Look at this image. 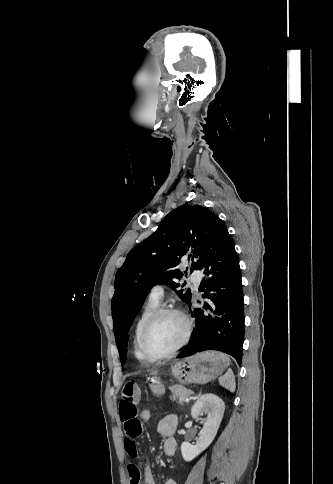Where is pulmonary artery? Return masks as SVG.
I'll return each mask as SVG.
<instances>
[{
    "label": "pulmonary artery",
    "instance_id": "1",
    "mask_svg": "<svg viewBox=\"0 0 333 484\" xmlns=\"http://www.w3.org/2000/svg\"><path fill=\"white\" fill-rule=\"evenodd\" d=\"M191 282L193 283V286L195 287V289L198 288L200 282H201V275L198 273V272H194L191 276ZM164 295V288L163 286L161 285H156L154 286L152 289H151V292H150V295H149V298L152 300V301H155V302H160L162 297Z\"/></svg>",
    "mask_w": 333,
    "mask_h": 484
}]
</instances>
